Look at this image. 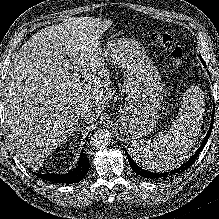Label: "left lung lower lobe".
Returning <instances> with one entry per match:
<instances>
[{"label":"left lung lower lobe","instance_id":"obj_1","mask_svg":"<svg viewBox=\"0 0 219 219\" xmlns=\"http://www.w3.org/2000/svg\"><path fill=\"white\" fill-rule=\"evenodd\" d=\"M201 61L203 63L204 66H206L204 60L201 58ZM214 112L215 110L213 111V114H212V121H211V125L209 127V131L208 133L206 134L201 146L199 147V149L195 152V154L186 162L184 163L183 165H181L179 168L175 169V170H172L170 172H164V173H160V174H157V173H151V172H148V171H145L144 169L140 168L133 160L132 158L129 156V154L127 153V151L125 150L124 148V151L128 157V161H129V164H130V167L132 168V170L144 177V178H149V179H159V178H167V177H170L172 176L173 174H178V173H182L183 171H185L186 169H188L194 162H195V159L199 156L200 152L203 150L204 146L206 145L209 137H210V134H211V131H212V127H213V121H214Z\"/></svg>","mask_w":219,"mask_h":219}]
</instances>
